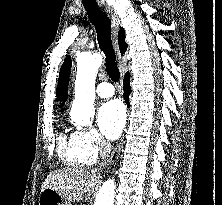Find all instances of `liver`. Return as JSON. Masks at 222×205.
<instances>
[{
	"instance_id": "liver-1",
	"label": "liver",
	"mask_w": 222,
	"mask_h": 205,
	"mask_svg": "<svg viewBox=\"0 0 222 205\" xmlns=\"http://www.w3.org/2000/svg\"><path fill=\"white\" fill-rule=\"evenodd\" d=\"M99 185L96 170L70 166L51 172L42 185V190L53 189L69 200L89 199Z\"/></svg>"
}]
</instances>
